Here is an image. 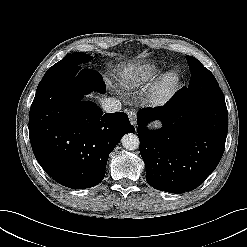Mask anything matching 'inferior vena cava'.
<instances>
[{
	"label": "inferior vena cava",
	"mask_w": 247,
	"mask_h": 247,
	"mask_svg": "<svg viewBox=\"0 0 247 247\" xmlns=\"http://www.w3.org/2000/svg\"><path fill=\"white\" fill-rule=\"evenodd\" d=\"M102 109L108 113H115L121 110V102L116 98H105L101 101Z\"/></svg>",
	"instance_id": "inferior-vena-cava-1"
}]
</instances>
